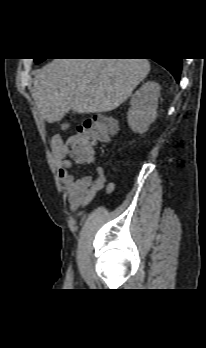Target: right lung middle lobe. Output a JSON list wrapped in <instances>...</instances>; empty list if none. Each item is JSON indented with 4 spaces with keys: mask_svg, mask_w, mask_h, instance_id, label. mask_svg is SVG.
Wrapping results in <instances>:
<instances>
[{
    "mask_svg": "<svg viewBox=\"0 0 206 348\" xmlns=\"http://www.w3.org/2000/svg\"><path fill=\"white\" fill-rule=\"evenodd\" d=\"M44 59H35L36 63H40L41 61H43Z\"/></svg>",
    "mask_w": 206,
    "mask_h": 348,
    "instance_id": "right-lung-middle-lobe-1",
    "label": "right lung middle lobe"
}]
</instances>
